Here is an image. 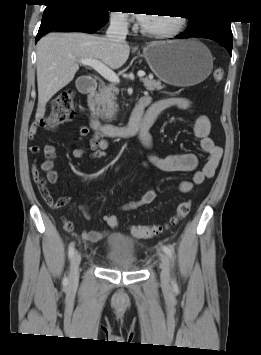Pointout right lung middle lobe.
<instances>
[{
    "mask_svg": "<svg viewBox=\"0 0 261 355\" xmlns=\"http://www.w3.org/2000/svg\"><path fill=\"white\" fill-rule=\"evenodd\" d=\"M79 4L86 6L95 14L98 15H108V11L103 8L99 0H84L79 2Z\"/></svg>",
    "mask_w": 261,
    "mask_h": 355,
    "instance_id": "1",
    "label": "right lung middle lobe"
}]
</instances>
